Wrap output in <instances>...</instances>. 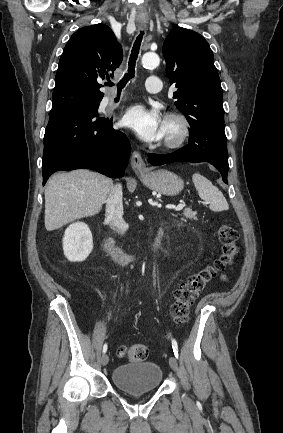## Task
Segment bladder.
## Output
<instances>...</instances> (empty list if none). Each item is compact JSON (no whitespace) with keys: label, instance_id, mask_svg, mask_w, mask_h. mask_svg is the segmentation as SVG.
I'll list each match as a JSON object with an SVG mask.
<instances>
[{"label":"bladder","instance_id":"bladder-1","mask_svg":"<svg viewBox=\"0 0 283 433\" xmlns=\"http://www.w3.org/2000/svg\"><path fill=\"white\" fill-rule=\"evenodd\" d=\"M162 375L160 365L154 362H135L115 368L112 378L122 392L136 393L158 388Z\"/></svg>","mask_w":283,"mask_h":433}]
</instances>
